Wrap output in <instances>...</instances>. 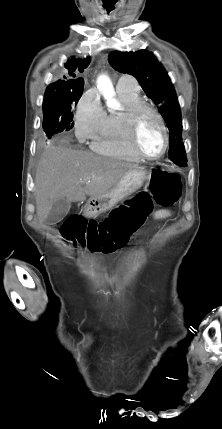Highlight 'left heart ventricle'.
<instances>
[{
	"label": "left heart ventricle",
	"instance_id": "obj_1",
	"mask_svg": "<svg viewBox=\"0 0 222 429\" xmlns=\"http://www.w3.org/2000/svg\"><path fill=\"white\" fill-rule=\"evenodd\" d=\"M137 140L147 155H157L164 147V137L157 119L150 113H143L137 129Z\"/></svg>",
	"mask_w": 222,
	"mask_h": 429
}]
</instances>
